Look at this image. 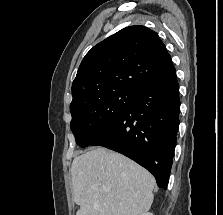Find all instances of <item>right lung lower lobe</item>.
Wrapping results in <instances>:
<instances>
[{"label": "right lung lower lobe", "mask_w": 223, "mask_h": 215, "mask_svg": "<svg viewBox=\"0 0 223 215\" xmlns=\"http://www.w3.org/2000/svg\"><path fill=\"white\" fill-rule=\"evenodd\" d=\"M176 74L140 91L118 122L92 146H103L131 158L167 189L179 126Z\"/></svg>", "instance_id": "right-lung-lower-lobe-1"}]
</instances>
